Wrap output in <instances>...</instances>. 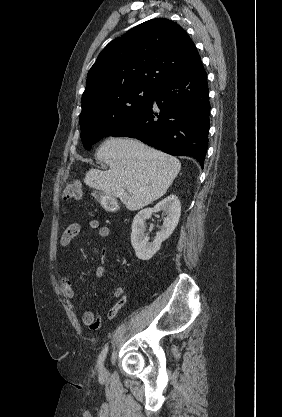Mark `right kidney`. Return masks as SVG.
Returning a JSON list of instances; mask_svg holds the SVG:
<instances>
[{
	"instance_id": "right-kidney-1",
	"label": "right kidney",
	"mask_w": 282,
	"mask_h": 417,
	"mask_svg": "<svg viewBox=\"0 0 282 417\" xmlns=\"http://www.w3.org/2000/svg\"><path fill=\"white\" fill-rule=\"evenodd\" d=\"M164 211L167 215L161 231L156 233L153 243H148L149 237L145 235V221L151 217L152 213ZM181 213V202L176 194H169L160 202H157L153 209H142L135 215L132 223L131 243L136 257L141 261H149L153 255L159 251L161 243L172 235L178 225Z\"/></svg>"
}]
</instances>
